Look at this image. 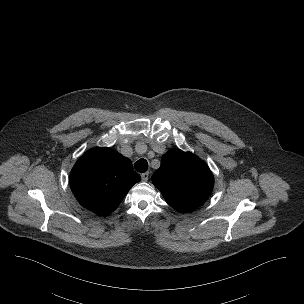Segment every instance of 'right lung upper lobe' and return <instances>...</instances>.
<instances>
[{"label":"right lung upper lobe","instance_id":"right-lung-upper-lobe-1","mask_svg":"<svg viewBox=\"0 0 304 304\" xmlns=\"http://www.w3.org/2000/svg\"><path fill=\"white\" fill-rule=\"evenodd\" d=\"M140 175L131 161L110 148L87 151L70 173L74 196L85 208L99 215L113 212Z\"/></svg>","mask_w":304,"mask_h":304}]
</instances>
